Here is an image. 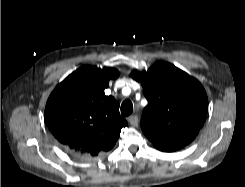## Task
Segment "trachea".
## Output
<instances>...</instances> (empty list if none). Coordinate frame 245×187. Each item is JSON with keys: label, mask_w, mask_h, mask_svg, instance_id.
<instances>
[{"label": "trachea", "mask_w": 245, "mask_h": 187, "mask_svg": "<svg viewBox=\"0 0 245 187\" xmlns=\"http://www.w3.org/2000/svg\"><path fill=\"white\" fill-rule=\"evenodd\" d=\"M133 111V104L130 100H125L121 105V114L126 117L129 116Z\"/></svg>", "instance_id": "1"}]
</instances>
